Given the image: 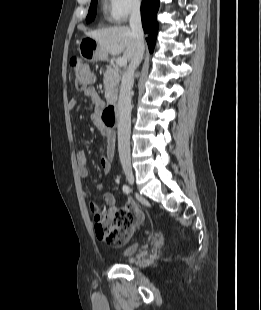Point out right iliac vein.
<instances>
[{
    "instance_id": "1",
    "label": "right iliac vein",
    "mask_w": 261,
    "mask_h": 310,
    "mask_svg": "<svg viewBox=\"0 0 261 310\" xmlns=\"http://www.w3.org/2000/svg\"><path fill=\"white\" fill-rule=\"evenodd\" d=\"M125 175H126V178H127L128 182L131 185H133L134 181H135V178H134V174H133V172H132V170L130 168L125 169Z\"/></svg>"
}]
</instances>
